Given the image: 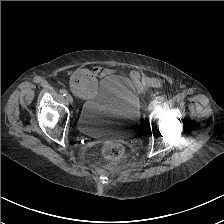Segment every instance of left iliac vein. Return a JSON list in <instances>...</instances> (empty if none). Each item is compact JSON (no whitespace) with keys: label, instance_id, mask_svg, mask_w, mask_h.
Wrapping results in <instances>:
<instances>
[{"label":"left iliac vein","instance_id":"left-iliac-vein-1","mask_svg":"<svg viewBox=\"0 0 224 224\" xmlns=\"http://www.w3.org/2000/svg\"><path fill=\"white\" fill-rule=\"evenodd\" d=\"M157 105V102L154 100V101H151L150 104L148 105V110L149 111H152Z\"/></svg>","mask_w":224,"mask_h":224}]
</instances>
